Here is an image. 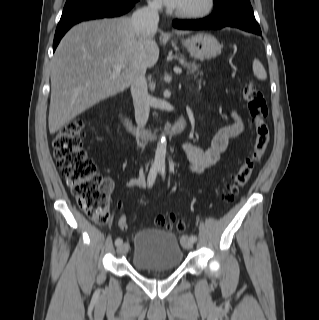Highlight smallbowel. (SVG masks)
<instances>
[{
  "instance_id": "c3829d8e",
  "label": "small bowel",
  "mask_w": 319,
  "mask_h": 320,
  "mask_svg": "<svg viewBox=\"0 0 319 320\" xmlns=\"http://www.w3.org/2000/svg\"><path fill=\"white\" fill-rule=\"evenodd\" d=\"M231 116L233 122L217 131L208 149H201L191 143H184L182 145V150L192 171L202 172L215 165L220 159L221 154L227 149L230 140L239 136L244 131L241 117L235 112ZM145 185L143 176L133 177L126 182V187L130 189L143 188Z\"/></svg>"
}]
</instances>
